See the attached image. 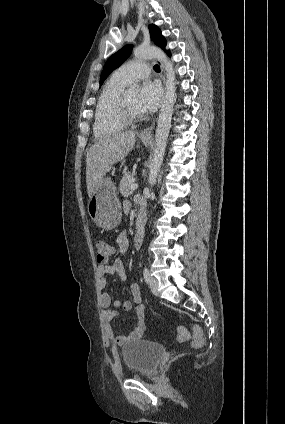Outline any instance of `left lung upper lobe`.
Segmentation results:
<instances>
[{"mask_svg": "<svg viewBox=\"0 0 285 424\" xmlns=\"http://www.w3.org/2000/svg\"><path fill=\"white\" fill-rule=\"evenodd\" d=\"M149 31L151 38L155 42V44L165 50L166 40L161 35L160 29L156 25L151 24L149 26ZM132 48V45H126L109 57L101 73L100 85L103 84L104 80L114 69L122 65L124 61L131 55Z\"/></svg>", "mask_w": 285, "mask_h": 424, "instance_id": "1", "label": "left lung upper lobe"}]
</instances>
